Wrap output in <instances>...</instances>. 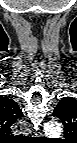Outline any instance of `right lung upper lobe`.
Wrapping results in <instances>:
<instances>
[{"label":"right lung upper lobe","mask_w":77,"mask_h":143,"mask_svg":"<svg viewBox=\"0 0 77 143\" xmlns=\"http://www.w3.org/2000/svg\"><path fill=\"white\" fill-rule=\"evenodd\" d=\"M23 116L19 106L12 99L0 97V126L1 131L10 134V126Z\"/></svg>","instance_id":"obj_1"}]
</instances>
